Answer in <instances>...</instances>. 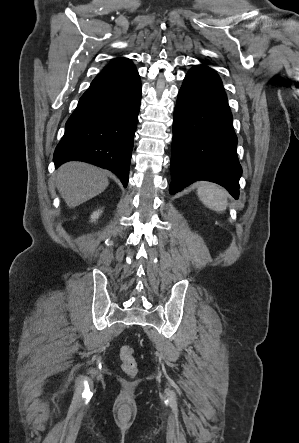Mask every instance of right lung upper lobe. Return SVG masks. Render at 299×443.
<instances>
[{
    "label": "right lung upper lobe",
    "instance_id": "obj_1",
    "mask_svg": "<svg viewBox=\"0 0 299 443\" xmlns=\"http://www.w3.org/2000/svg\"><path fill=\"white\" fill-rule=\"evenodd\" d=\"M135 67L134 64L127 58H119L108 65H106L103 69V71H118V70H125Z\"/></svg>",
    "mask_w": 299,
    "mask_h": 443
}]
</instances>
